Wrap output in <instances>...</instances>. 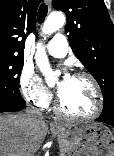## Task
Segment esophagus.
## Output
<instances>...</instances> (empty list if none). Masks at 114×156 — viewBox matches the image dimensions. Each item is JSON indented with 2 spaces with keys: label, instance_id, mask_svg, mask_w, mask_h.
<instances>
[{
  "label": "esophagus",
  "instance_id": "1",
  "mask_svg": "<svg viewBox=\"0 0 114 156\" xmlns=\"http://www.w3.org/2000/svg\"><path fill=\"white\" fill-rule=\"evenodd\" d=\"M51 2H52V0H46V3H47V5H48L49 7H51ZM51 125H52L53 127H55V128H59V125H58V123H56V122H52Z\"/></svg>",
  "mask_w": 114,
  "mask_h": 156
}]
</instances>
